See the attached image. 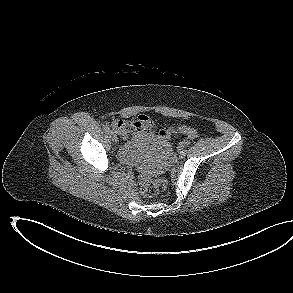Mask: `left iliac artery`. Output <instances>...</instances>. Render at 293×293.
<instances>
[{
    "label": "left iliac artery",
    "instance_id": "obj_1",
    "mask_svg": "<svg viewBox=\"0 0 293 293\" xmlns=\"http://www.w3.org/2000/svg\"><path fill=\"white\" fill-rule=\"evenodd\" d=\"M189 144H190L189 141L184 140V141L181 143V147H182V148H186Z\"/></svg>",
    "mask_w": 293,
    "mask_h": 293
}]
</instances>
